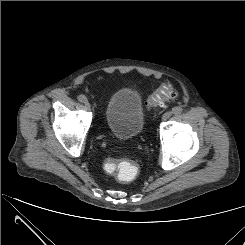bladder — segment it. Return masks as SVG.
I'll use <instances>...</instances> for the list:
<instances>
[{
    "label": "bladder",
    "mask_w": 245,
    "mask_h": 245,
    "mask_svg": "<svg viewBox=\"0 0 245 245\" xmlns=\"http://www.w3.org/2000/svg\"><path fill=\"white\" fill-rule=\"evenodd\" d=\"M104 121L109 131L119 138L139 136L146 122L139 92L132 88L117 90L107 102Z\"/></svg>",
    "instance_id": "31cf9c89"
}]
</instances>
